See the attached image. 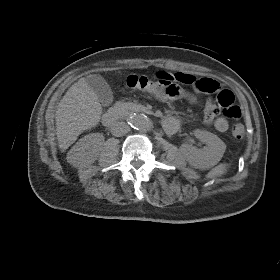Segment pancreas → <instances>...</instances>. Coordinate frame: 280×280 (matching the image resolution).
Wrapping results in <instances>:
<instances>
[{
  "label": "pancreas",
  "mask_w": 280,
  "mask_h": 280,
  "mask_svg": "<svg viewBox=\"0 0 280 280\" xmlns=\"http://www.w3.org/2000/svg\"><path fill=\"white\" fill-rule=\"evenodd\" d=\"M119 107H121L122 109L126 108V107H129L130 104H127V103H124V104H120L118 105Z\"/></svg>",
  "instance_id": "cf45deb5"
}]
</instances>
